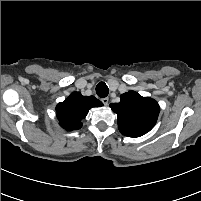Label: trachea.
<instances>
[{"label": "trachea", "instance_id": "1", "mask_svg": "<svg viewBox=\"0 0 201 201\" xmlns=\"http://www.w3.org/2000/svg\"><path fill=\"white\" fill-rule=\"evenodd\" d=\"M96 93L101 98H105L109 94V89L105 82H100L97 84Z\"/></svg>", "mask_w": 201, "mask_h": 201}]
</instances>
